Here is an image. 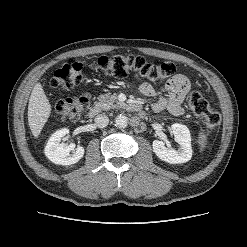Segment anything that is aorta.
Listing matches in <instances>:
<instances>
[{
    "label": "aorta",
    "mask_w": 247,
    "mask_h": 247,
    "mask_svg": "<svg viewBox=\"0 0 247 247\" xmlns=\"http://www.w3.org/2000/svg\"><path fill=\"white\" fill-rule=\"evenodd\" d=\"M115 125L120 128V129H124L128 126V118L125 115H118L115 118Z\"/></svg>",
    "instance_id": "762f6f07"
}]
</instances>
